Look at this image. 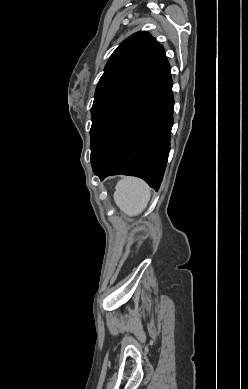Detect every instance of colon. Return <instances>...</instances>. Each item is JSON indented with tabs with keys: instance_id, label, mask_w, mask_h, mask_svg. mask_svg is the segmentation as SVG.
<instances>
[{
	"instance_id": "5ec220e1",
	"label": "colon",
	"mask_w": 248,
	"mask_h": 389,
	"mask_svg": "<svg viewBox=\"0 0 248 389\" xmlns=\"http://www.w3.org/2000/svg\"><path fill=\"white\" fill-rule=\"evenodd\" d=\"M140 243H141V240L139 239V240H138V244H140Z\"/></svg>"
}]
</instances>
